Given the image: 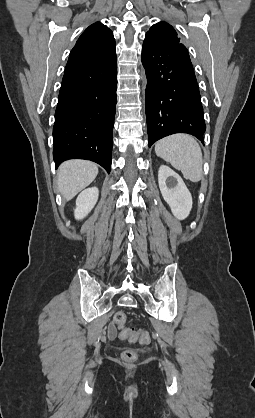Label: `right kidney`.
Returning a JSON list of instances; mask_svg holds the SVG:
<instances>
[{"label": "right kidney", "mask_w": 255, "mask_h": 418, "mask_svg": "<svg viewBox=\"0 0 255 418\" xmlns=\"http://www.w3.org/2000/svg\"><path fill=\"white\" fill-rule=\"evenodd\" d=\"M99 196L98 188L92 187L83 190L76 199L74 216L77 220L85 218L94 208Z\"/></svg>", "instance_id": "obj_1"}]
</instances>
